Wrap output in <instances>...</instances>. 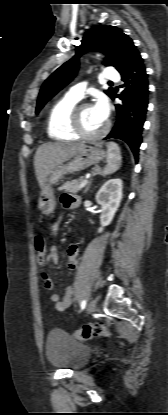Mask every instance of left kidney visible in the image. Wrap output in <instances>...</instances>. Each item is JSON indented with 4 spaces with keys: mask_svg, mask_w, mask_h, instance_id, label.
I'll use <instances>...</instances> for the list:
<instances>
[{
    "mask_svg": "<svg viewBox=\"0 0 168 415\" xmlns=\"http://www.w3.org/2000/svg\"><path fill=\"white\" fill-rule=\"evenodd\" d=\"M123 182L121 179H110L104 183L96 194V202L101 205L102 213L100 216L101 227L98 232H102L103 228L108 226L120 206L122 199Z\"/></svg>",
    "mask_w": 168,
    "mask_h": 415,
    "instance_id": "left-kidney-1",
    "label": "left kidney"
}]
</instances>
